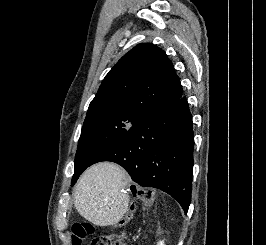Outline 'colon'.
I'll return each instance as SVG.
<instances>
[{
  "mask_svg": "<svg viewBox=\"0 0 266 245\" xmlns=\"http://www.w3.org/2000/svg\"><path fill=\"white\" fill-rule=\"evenodd\" d=\"M151 202L150 195H137L135 196V203L141 207L149 206ZM93 234V228L87 223H74L72 225L71 233V244L72 245H81L82 241ZM90 245H126L121 238L109 233H105L101 236L93 237L90 240Z\"/></svg>",
  "mask_w": 266,
  "mask_h": 245,
  "instance_id": "colon-1",
  "label": "colon"
}]
</instances>
